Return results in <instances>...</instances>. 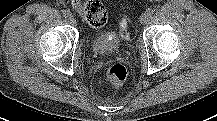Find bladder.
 I'll return each instance as SVG.
<instances>
[{"label": "bladder", "mask_w": 217, "mask_h": 121, "mask_svg": "<svg viewBox=\"0 0 217 121\" xmlns=\"http://www.w3.org/2000/svg\"><path fill=\"white\" fill-rule=\"evenodd\" d=\"M94 50L100 54L112 53L119 47L117 39H108L106 36H98L94 40Z\"/></svg>", "instance_id": "1"}]
</instances>
